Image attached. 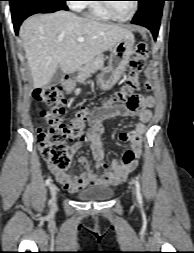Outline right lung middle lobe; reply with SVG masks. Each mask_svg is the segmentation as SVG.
Listing matches in <instances>:
<instances>
[{"label":"right lung middle lobe","instance_id":"dd1d6c3e","mask_svg":"<svg viewBox=\"0 0 194 253\" xmlns=\"http://www.w3.org/2000/svg\"><path fill=\"white\" fill-rule=\"evenodd\" d=\"M10 4H13L14 2L18 1V0H9Z\"/></svg>","mask_w":194,"mask_h":253}]
</instances>
